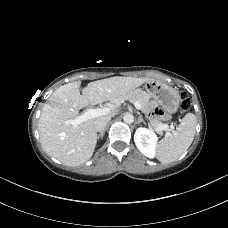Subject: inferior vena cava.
<instances>
[{
  "instance_id": "obj_1",
  "label": "inferior vena cava",
  "mask_w": 228,
  "mask_h": 228,
  "mask_svg": "<svg viewBox=\"0 0 228 228\" xmlns=\"http://www.w3.org/2000/svg\"><path fill=\"white\" fill-rule=\"evenodd\" d=\"M111 120L110 117L103 118V119H97L93 126L96 131H103L107 125V123Z\"/></svg>"
}]
</instances>
